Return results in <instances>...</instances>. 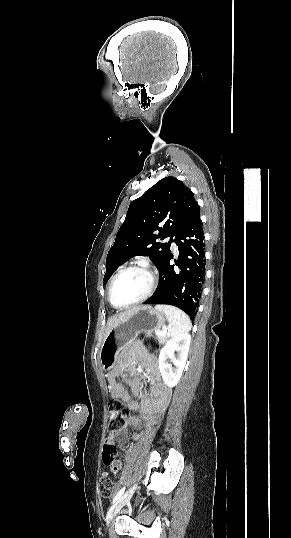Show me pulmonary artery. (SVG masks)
<instances>
[{"instance_id": "e3ab8cb5", "label": "pulmonary artery", "mask_w": 291, "mask_h": 538, "mask_svg": "<svg viewBox=\"0 0 291 538\" xmlns=\"http://www.w3.org/2000/svg\"><path fill=\"white\" fill-rule=\"evenodd\" d=\"M165 241H166V242H170V244H171V248H172L173 250H176V249H177V246H176V244H175V242H174V238L167 237V238L165 239Z\"/></svg>"}]
</instances>
